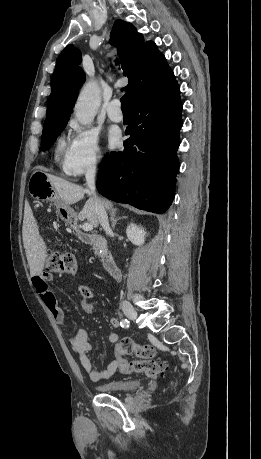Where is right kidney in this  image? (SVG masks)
<instances>
[{"label":"right kidney","mask_w":261,"mask_h":459,"mask_svg":"<svg viewBox=\"0 0 261 459\" xmlns=\"http://www.w3.org/2000/svg\"><path fill=\"white\" fill-rule=\"evenodd\" d=\"M128 239L137 246H141L145 242L146 232L144 228L137 226L134 223H130L126 229Z\"/></svg>","instance_id":"1"}]
</instances>
